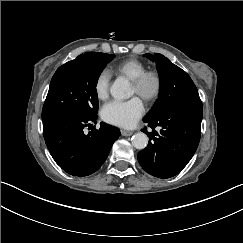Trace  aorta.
Masks as SVG:
<instances>
[{
    "mask_svg": "<svg viewBox=\"0 0 243 243\" xmlns=\"http://www.w3.org/2000/svg\"><path fill=\"white\" fill-rule=\"evenodd\" d=\"M109 92L114 99H129L134 94V89L126 78L116 79L110 86ZM148 144V137L144 133L132 136V146L138 150L144 149Z\"/></svg>",
    "mask_w": 243,
    "mask_h": 243,
    "instance_id": "aorta-1",
    "label": "aorta"
}]
</instances>
